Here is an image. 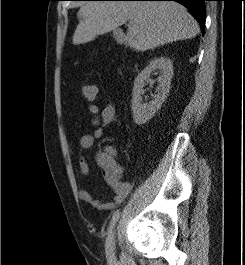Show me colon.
<instances>
[{
  "mask_svg": "<svg viewBox=\"0 0 245 265\" xmlns=\"http://www.w3.org/2000/svg\"><path fill=\"white\" fill-rule=\"evenodd\" d=\"M81 94L86 101L92 102L97 98L98 86L96 84H86L82 87ZM104 165L109 168L113 166L109 159H104Z\"/></svg>",
  "mask_w": 245,
  "mask_h": 265,
  "instance_id": "colon-1",
  "label": "colon"
}]
</instances>
